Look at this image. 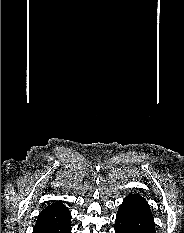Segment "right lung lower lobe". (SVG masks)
I'll use <instances>...</instances> for the list:
<instances>
[{
  "label": "right lung lower lobe",
  "mask_w": 184,
  "mask_h": 233,
  "mask_svg": "<svg viewBox=\"0 0 184 233\" xmlns=\"http://www.w3.org/2000/svg\"><path fill=\"white\" fill-rule=\"evenodd\" d=\"M33 233H71V214L62 203L41 211Z\"/></svg>",
  "instance_id": "obj_1"
}]
</instances>
